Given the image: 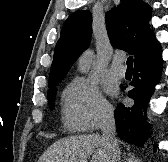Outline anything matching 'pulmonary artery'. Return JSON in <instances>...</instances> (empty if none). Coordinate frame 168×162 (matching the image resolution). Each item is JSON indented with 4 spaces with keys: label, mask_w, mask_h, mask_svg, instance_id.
I'll list each match as a JSON object with an SVG mask.
<instances>
[{
    "label": "pulmonary artery",
    "mask_w": 168,
    "mask_h": 162,
    "mask_svg": "<svg viewBox=\"0 0 168 162\" xmlns=\"http://www.w3.org/2000/svg\"><path fill=\"white\" fill-rule=\"evenodd\" d=\"M123 60L119 55L113 57L110 70L117 77H123L126 73V68L122 64Z\"/></svg>",
    "instance_id": "1"
}]
</instances>
